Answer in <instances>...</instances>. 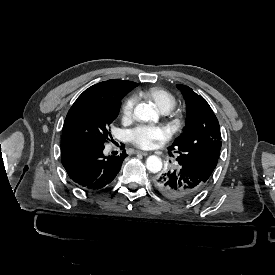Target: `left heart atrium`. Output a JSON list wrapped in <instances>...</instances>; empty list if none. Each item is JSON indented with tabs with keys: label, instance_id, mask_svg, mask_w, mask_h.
I'll return each instance as SVG.
<instances>
[{
	"label": "left heart atrium",
	"instance_id": "39dd6f15",
	"mask_svg": "<svg viewBox=\"0 0 275 275\" xmlns=\"http://www.w3.org/2000/svg\"><path fill=\"white\" fill-rule=\"evenodd\" d=\"M171 137L166 126L140 124L127 131L129 141L140 149H152Z\"/></svg>",
	"mask_w": 275,
	"mask_h": 275
}]
</instances>
